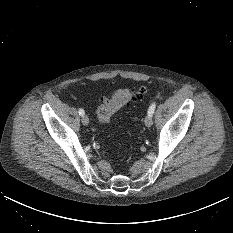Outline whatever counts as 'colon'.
I'll list each match as a JSON object with an SVG mask.
<instances>
[{
  "label": "colon",
  "mask_w": 233,
  "mask_h": 233,
  "mask_svg": "<svg viewBox=\"0 0 233 233\" xmlns=\"http://www.w3.org/2000/svg\"><path fill=\"white\" fill-rule=\"evenodd\" d=\"M146 92V88L144 87L136 90L120 89L111 97L101 98L97 107L98 120L103 124H108L113 114L128 105L135 98H143Z\"/></svg>",
  "instance_id": "colon-1"
}]
</instances>
